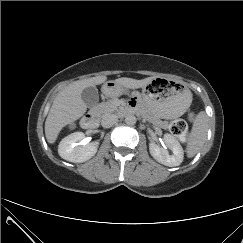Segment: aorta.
Wrapping results in <instances>:
<instances>
[{"label": "aorta", "mask_w": 243, "mask_h": 243, "mask_svg": "<svg viewBox=\"0 0 243 243\" xmlns=\"http://www.w3.org/2000/svg\"><path fill=\"white\" fill-rule=\"evenodd\" d=\"M136 121H137L136 117L134 115H131V114L127 115L126 118H125V123L127 125H131V126L135 125Z\"/></svg>", "instance_id": "762f6f07"}]
</instances>
